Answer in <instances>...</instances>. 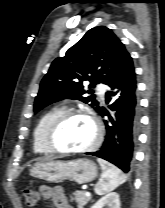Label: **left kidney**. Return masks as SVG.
I'll use <instances>...</instances> for the list:
<instances>
[{"instance_id":"left-kidney-1","label":"left kidney","mask_w":165,"mask_h":208,"mask_svg":"<svg viewBox=\"0 0 165 208\" xmlns=\"http://www.w3.org/2000/svg\"><path fill=\"white\" fill-rule=\"evenodd\" d=\"M120 208L119 195L116 192L109 193L99 199L91 208Z\"/></svg>"}]
</instances>
